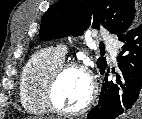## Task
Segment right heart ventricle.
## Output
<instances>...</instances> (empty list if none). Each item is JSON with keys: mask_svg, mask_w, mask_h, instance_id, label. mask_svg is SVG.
I'll return each instance as SVG.
<instances>
[{"mask_svg": "<svg viewBox=\"0 0 142 119\" xmlns=\"http://www.w3.org/2000/svg\"><path fill=\"white\" fill-rule=\"evenodd\" d=\"M63 59L56 49L46 48L36 52L27 62L20 79V100L26 111L38 115L49 113L44 99L45 86Z\"/></svg>", "mask_w": 142, "mask_h": 119, "instance_id": "1", "label": "right heart ventricle"}]
</instances>
